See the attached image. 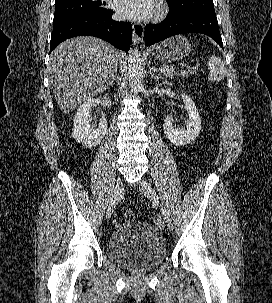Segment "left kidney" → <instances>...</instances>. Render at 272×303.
Listing matches in <instances>:
<instances>
[{"instance_id":"obj_1","label":"left kidney","mask_w":272,"mask_h":303,"mask_svg":"<svg viewBox=\"0 0 272 303\" xmlns=\"http://www.w3.org/2000/svg\"><path fill=\"white\" fill-rule=\"evenodd\" d=\"M184 101V108L188 114L186 129L176 128L172 117L167 116L164 119V133L167 138L175 145L183 146L192 143L201 131V118L192 99L185 93L181 94Z\"/></svg>"}]
</instances>
